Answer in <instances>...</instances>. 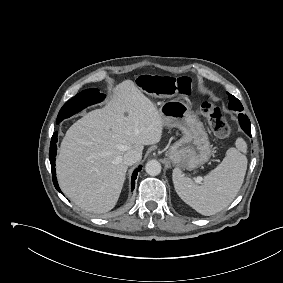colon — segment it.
<instances>
[{
	"label": "colon",
	"mask_w": 283,
	"mask_h": 283,
	"mask_svg": "<svg viewBox=\"0 0 283 283\" xmlns=\"http://www.w3.org/2000/svg\"><path fill=\"white\" fill-rule=\"evenodd\" d=\"M138 87L153 96L189 95L192 89V80L187 77L171 78L164 76H140ZM202 112L207 116L213 132L219 137H226L230 133V126L223 111L210 102L202 104Z\"/></svg>",
	"instance_id": "5ec220e1"
}]
</instances>
